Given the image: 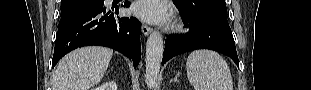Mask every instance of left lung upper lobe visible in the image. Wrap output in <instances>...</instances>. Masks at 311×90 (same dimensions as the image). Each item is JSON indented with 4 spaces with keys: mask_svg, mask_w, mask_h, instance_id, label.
Here are the masks:
<instances>
[{
    "mask_svg": "<svg viewBox=\"0 0 311 90\" xmlns=\"http://www.w3.org/2000/svg\"><path fill=\"white\" fill-rule=\"evenodd\" d=\"M173 2L183 19H212L229 25L225 0H173Z\"/></svg>",
    "mask_w": 311,
    "mask_h": 90,
    "instance_id": "5c2ea615",
    "label": "left lung upper lobe"
}]
</instances>
